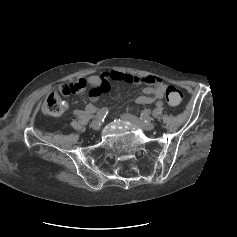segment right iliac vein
<instances>
[{"label": "right iliac vein", "mask_w": 237, "mask_h": 237, "mask_svg": "<svg viewBox=\"0 0 237 237\" xmlns=\"http://www.w3.org/2000/svg\"><path fill=\"white\" fill-rule=\"evenodd\" d=\"M90 127L93 130H98L100 128V121L99 120H93L90 124Z\"/></svg>", "instance_id": "obj_1"}]
</instances>
